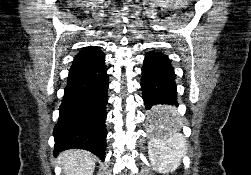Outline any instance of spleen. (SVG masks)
Listing matches in <instances>:
<instances>
[{"label":"spleen","mask_w":251,"mask_h":175,"mask_svg":"<svg viewBox=\"0 0 251 175\" xmlns=\"http://www.w3.org/2000/svg\"><path fill=\"white\" fill-rule=\"evenodd\" d=\"M154 111L156 113L149 121L151 127H148V131L156 127L151 135V137L155 135V139L149 145V159L155 171L168 173L180 165V159L187 151V143L184 135L174 133L178 123L168 107H156Z\"/></svg>","instance_id":"spleen-1"}]
</instances>
